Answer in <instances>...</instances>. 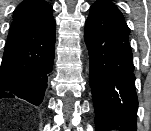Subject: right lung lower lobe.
I'll use <instances>...</instances> for the list:
<instances>
[{
    "label": "right lung lower lobe",
    "mask_w": 151,
    "mask_h": 131,
    "mask_svg": "<svg viewBox=\"0 0 151 131\" xmlns=\"http://www.w3.org/2000/svg\"><path fill=\"white\" fill-rule=\"evenodd\" d=\"M54 48L48 60L35 72L10 85H0V99L19 97L39 106L43 101L47 81L52 71Z\"/></svg>",
    "instance_id": "1"
}]
</instances>
